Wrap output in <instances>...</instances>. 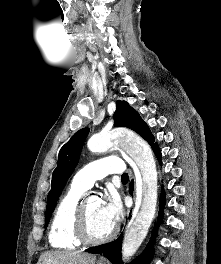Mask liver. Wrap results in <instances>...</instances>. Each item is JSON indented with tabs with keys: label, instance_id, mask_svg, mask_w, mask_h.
<instances>
[{
	"label": "liver",
	"instance_id": "6515ba94",
	"mask_svg": "<svg viewBox=\"0 0 221 264\" xmlns=\"http://www.w3.org/2000/svg\"><path fill=\"white\" fill-rule=\"evenodd\" d=\"M96 257L88 253L69 251H46L37 264H95Z\"/></svg>",
	"mask_w": 221,
	"mask_h": 264
}]
</instances>
